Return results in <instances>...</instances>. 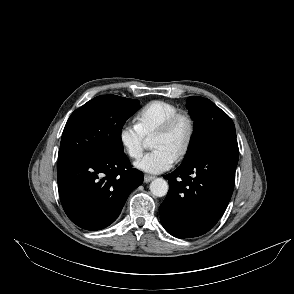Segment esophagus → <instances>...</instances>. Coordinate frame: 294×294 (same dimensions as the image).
<instances>
[{
  "instance_id": "1",
  "label": "esophagus",
  "mask_w": 294,
  "mask_h": 294,
  "mask_svg": "<svg viewBox=\"0 0 294 294\" xmlns=\"http://www.w3.org/2000/svg\"><path fill=\"white\" fill-rule=\"evenodd\" d=\"M153 179H155V176H151V175H148V174L144 175V182L145 183H148V182L152 181Z\"/></svg>"
}]
</instances>
